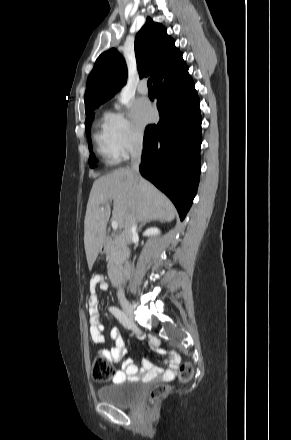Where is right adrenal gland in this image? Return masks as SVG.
<instances>
[{"instance_id": "1", "label": "right adrenal gland", "mask_w": 291, "mask_h": 440, "mask_svg": "<svg viewBox=\"0 0 291 440\" xmlns=\"http://www.w3.org/2000/svg\"><path fill=\"white\" fill-rule=\"evenodd\" d=\"M148 222H150V221H144V222H142V223L140 224L139 228H138V231H140V230L142 229V227H143L144 225H146V223H148Z\"/></svg>"}]
</instances>
